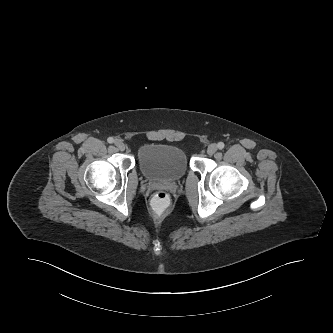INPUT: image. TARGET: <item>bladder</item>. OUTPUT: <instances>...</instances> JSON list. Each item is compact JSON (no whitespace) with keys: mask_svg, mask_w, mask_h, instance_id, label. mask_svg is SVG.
Returning a JSON list of instances; mask_svg holds the SVG:
<instances>
[{"mask_svg":"<svg viewBox=\"0 0 333 333\" xmlns=\"http://www.w3.org/2000/svg\"><path fill=\"white\" fill-rule=\"evenodd\" d=\"M141 173L151 180L176 181L182 178L188 168L185 153L174 146L148 144L137 153Z\"/></svg>","mask_w":333,"mask_h":333,"instance_id":"1","label":"bladder"}]
</instances>
